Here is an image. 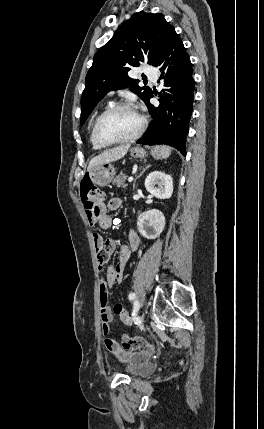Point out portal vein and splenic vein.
Returning a JSON list of instances; mask_svg holds the SVG:
<instances>
[{
    "label": "portal vein and splenic vein",
    "instance_id": "obj_1",
    "mask_svg": "<svg viewBox=\"0 0 264 429\" xmlns=\"http://www.w3.org/2000/svg\"><path fill=\"white\" fill-rule=\"evenodd\" d=\"M133 179H134V178H133V176H130V177L128 178V181H129V182H132V181H133Z\"/></svg>",
    "mask_w": 264,
    "mask_h": 429
}]
</instances>
